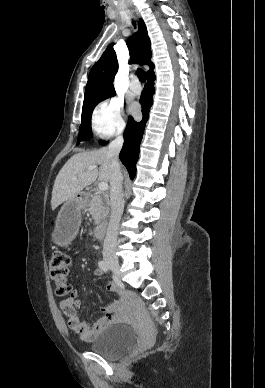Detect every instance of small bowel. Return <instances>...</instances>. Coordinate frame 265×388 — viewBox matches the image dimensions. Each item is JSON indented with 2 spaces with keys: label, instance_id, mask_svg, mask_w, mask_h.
<instances>
[{
  "label": "small bowel",
  "instance_id": "obj_1",
  "mask_svg": "<svg viewBox=\"0 0 265 388\" xmlns=\"http://www.w3.org/2000/svg\"><path fill=\"white\" fill-rule=\"evenodd\" d=\"M101 273L100 269L95 271L96 275ZM108 290L115 293L117 298L112 304L102 308L104 315L93 325L80 319L77 308L81 305V299L78 292L72 290L71 295L60 303L61 311L67 321L63 319L58 321L59 330L64 333L69 329L76 333L80 340L92 341L108 325L125 321L127 319L125 309L130 302L128 294L119 289L115 283H109Z\"/></svg>",
  "mask_w": 265,
  "mask_h": 388
}]
</instances>
